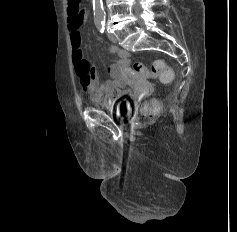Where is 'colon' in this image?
Segmentation results:
<instances>
[{
	"instance_id": "colon-1",
	"label": "colon",
	"mask_w": 237,
	"mask_h": 232,
	"mask_svg": "<svg viewBox=\"0 0 237 232\" xmlns=\"http://www.w3.org/2000/svg\"><path fill=\"white\" fill-rule=\"evenodd\" d=\"M68 11L72 17H82L84 15V9L81 0H68ZM134 70L141 77L159 80L163 83H168L173 78L171 68L161 60L154 61L149 68L137 62L134 64ZM157 109V103L150 102L145 105L143 112L146 116H152L156 113Z\"/></svg>"
}]
</instances>
